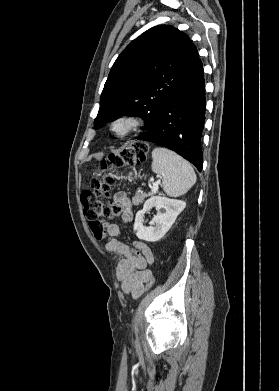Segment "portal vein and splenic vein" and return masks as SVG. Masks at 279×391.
I'll use <instances>...</instances> for the list:
<instances>
[{"mask_svg":"<svg viewBox=\"0 0 279 391\" xmlns=\"http://www.w3.org/2000/svg\"><path fill=\"white\" fill-rule=\"evenodd\" d=\"M160 181H157L153 184V187L151 188V192L152 193H156L158 191V185H159Z\"/></svg>","mask_w":279,"mask_h":391,"instance_id":"18ae733b","label":"portal vein and splenic vein"}]
</instances>
